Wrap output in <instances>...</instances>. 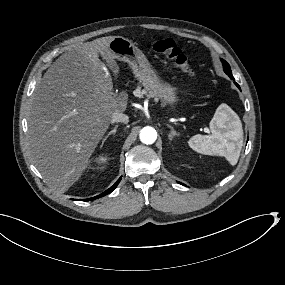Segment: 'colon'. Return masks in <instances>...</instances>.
<instances>
[{
	"label": "colon",
	"mask_w": 285,
	"mask_h": 285,
	"mask_svg": "<svg viewBox=\"0 0 285 285\" xmlns=\"http://www.w3.org/2000/svg\"><path fill=\"white\" fill-rule=\"evenodd\" d=\"M152 49L154 52L163 55L167 59L171 60L176 66L182 69L184 72L194 75L195 72L190 66L186 55L177 46L174 40L171 38H165L157 40L152 43Z\"/></svg>",
	"instance_id": "5ec220e1"
}]
</instances>
